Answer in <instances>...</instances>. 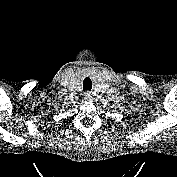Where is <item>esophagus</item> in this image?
<instances>
[{
    "mask_svg": "<svg viewBox=\"0 0 177 177\" xmlns=\"http://www.w3.org/2000/svg\"><path fill=\"white\" fill-rule=\"evenodd\" d=\"M84 98H85V100L90 101L92 98L91 93L89 91L85 92Z\"/></svg>",
    "mask_w": 177,
    "mask_h": 177,
    "instance_id": "esophagus-1",
    "label": "esophagus"
}]
</instances>
